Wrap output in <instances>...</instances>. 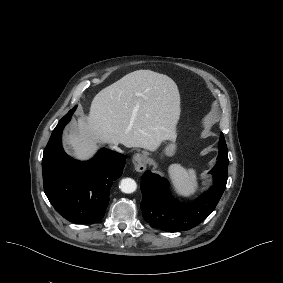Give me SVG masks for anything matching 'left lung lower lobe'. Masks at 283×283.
<instances>
[{"mask_svg":"<svg viewBox=\"0 0 283 283\" xmlns=\"http://www.w3.org/2000/svg\"><path fill=\"white\" fill-rule=\"evenodd\" d=\"M228 150L223 133L220 134L217 163L210 171L213 187L192 204L177 202L169 191L168 181L147 170L141 178L143 218L151 227L168 232L189 230L215 209L227 183Z\"/></svg>","mask_w":283,"mask_h":283,"instance_id":"1","label":"left lung lower lobe"}]
</instances>
